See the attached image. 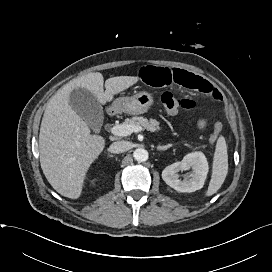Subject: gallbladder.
<instances>
[{
  "instance_id": "1",
  "label": "gallbladder",
  "mask_w": 272,
  "mask_h": 272,
  "mask_svg": "<svg viewBox=\"0 0 272 272\" xmlns=\"http://www.w3.org/2000/svg\"><path fill=\"white\" fill-rule=\"evenodd\" d=\"M70 106L94 130L103 122V111L97 98L85 88H75L70 93Z\"/></svg>"
}]
</instances>
